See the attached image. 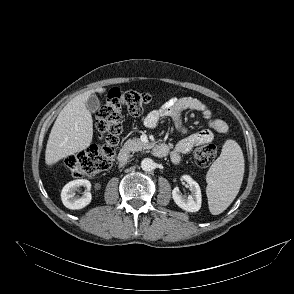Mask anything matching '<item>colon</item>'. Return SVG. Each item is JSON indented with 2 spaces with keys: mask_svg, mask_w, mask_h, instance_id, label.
I'll use <instances>...</instances> for the list:
<instances>
[{
  "mask_svg": "<svg viewBox=\"0 0 294 294\" xmlns=\"http://www.w3.org/2000/svg\"><path fill=\"white\" fill-rule=\"evenodd\" d=\"M151 101L152 97L148 93L111 89L105 103L96 113L97 129L102 136V142L67 157L65 163L72 175L75 178H84L109 170L122 131V112L138 116ZM216 153L214 144L201 142L195 146L192 155L198 166L207 167L216 157Z\"/></svg>",
  "mask_w": 294,
  "mask_h": 294,
  "instance_id": "colon-1",
  "label": "colon"
}]
</instances>
